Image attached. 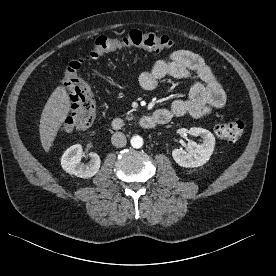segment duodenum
Returning <instances> with one entry per match:
<instances>
[{
    "instance_id": "1",
    "label": "duodenum",
    "mask_w": 276,
    "mask_h": 276,
    "mask_svg": "<svg viewBox=\"0 0 276 276\" xmlns=\"http://www.w3.org/2000/svg\"><path fill=\"white\" fill-rule=\"evenodd\" d=\"M169 120V115L166 112L158 110L151 116H142L139 120V124L143 129H153L157 125L167 123ZM125 125L126 121L120 117L114 118L112 121V128L115 130H121Z\"/></svg>"
}]
</instances>
